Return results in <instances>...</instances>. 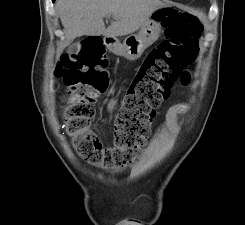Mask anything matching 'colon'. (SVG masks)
I'll return each mask as SVG.
<instances>
[{
  "label": "colon",
  "mask_w": 245,
  "mask_h": 225,
  "mask_svg": "<svg viewBox=\"0 0 245 225\" xmlns=\"http://www.w3.org/2000/svg\"><path fill=\"white\" fill-rule=\"evenodd\" d=\"M161 23L165 39L139 65L123 94L114 120L113 147H103L89 129L94 105L108 86L109 58L103 42L95 37L80 38L54 68V76L67 88L61 109L64 131L72 138L77 155L96 167L128 166L145 147L157 108L168 100L176 83L190 80L187 69L198 54L200 22L192 14L166 8L161 11ZM182 111L184 105L179 107Z\"/></svg>",
  "instance_id": "1"
}]
</instances>
